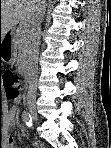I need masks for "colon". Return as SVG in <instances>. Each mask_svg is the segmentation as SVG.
Wrapping results in <instances>:
<instances>
[{
	"label": "colon",
	"mask_w": 111,
	"mask_h": 148,
	"mask_svg": "<svg viewBox=\"0 0 111 148\" xmlns=\"http://www.w3.org/2000/svg\"><path fill=\"white\" fill-rule=\"evenodd\" d=\"M0 78L6 89L7 98L17 100L22 90L17 74L11 70H6L0 74Z\"/></svg>",
	"instance_id": "5ec220e1"
}]
</instances>
